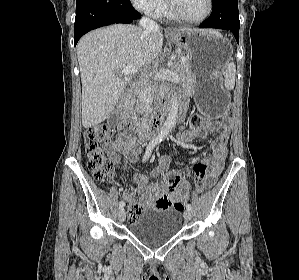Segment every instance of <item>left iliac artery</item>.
<instances>
[{
	"mask_svg": "<svg viewBox=\"0 0 299 280\" xmlns=\"http://www.w3.org/2000/svg\"><path fill=\"white\" fill-rule=\"evenodd\" d=\"M186 208H187L188 210H191V209H192L191 204H187V205H186Z\"/></svg>",
	"mask_w": 299,
	"mask_h": 280,
	"instance_id": "obj_1",
	"label": "left iliac artery"
}]
</instances>
